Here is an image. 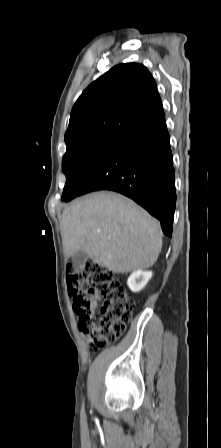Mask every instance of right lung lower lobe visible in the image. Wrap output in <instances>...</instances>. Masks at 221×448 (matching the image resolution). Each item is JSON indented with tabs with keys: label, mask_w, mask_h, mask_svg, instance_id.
Returning <instances> with one entry per match:
<instances>
[{
	"label": "right lung lower lobe",
	"mask_w": 221,
	"mask_h": 448,
	"mask_svg": "<svg viewBox=\"0 0 221 448\" xmlns=\"http://www.w3.org/2000/svg\"><path fill=\"white\" fill-rule=\"evenodd\" d=\"M112 190L145 208L172 236L175 176L163 108L127 130L116 142L80 195Z\"/></svg>",
	"instance_id": "obj_1"
}]
</instances>
